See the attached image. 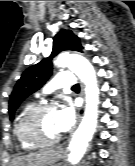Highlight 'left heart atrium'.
Segmentation results:
<instances>
[{
  "label": "left heart atrium",
  "instance_id": "obj_1",
  "mask_svg": "<svg viewBox=\"0 0 135 166\" xmlns=\"http://www.w3.org/2000/svg\"><path fill=\"white\" fill-rule=\"evenodd\" d=\"M75 120L74 110L67 105L56 111V124L60 133L69 130Z\"/></svg>",
  "mask_w": 135,
  "mask_h": 166
}]
</instances>
